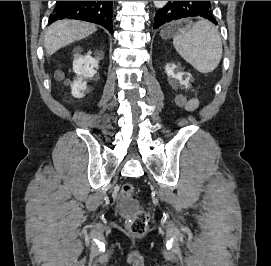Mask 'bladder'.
Masks as SVG:
<instances>
[{"label": "bladder", "instance_id": "obj_1", "mask_svg": "<svg viewBox=\"0 0 271 266\" xmlns=\"http://www.w3.org/2000/svg\"><path fill=\"white\" fill-rule=\"evenodd\" d=\"M137 206H138V202L135 199H127V200H124V202L121 204V210L122 212L128 213Z\"/></svg>", "mask_w": 271, "mask_h": 266}]
</instances>
